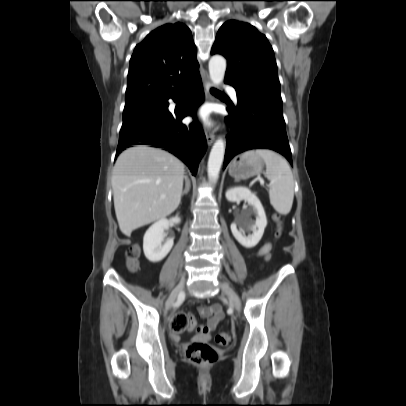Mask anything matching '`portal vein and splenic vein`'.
Masks as SVG:
<instances>
[{
    "label": "portal vein and splenic vein",
    "instance_id": "18ae733b",
    "mask_svg": "<svg viewBox=\"0 0 406 406\" xmlns=\"http://www.w3.org/2000/svg\"><path fill=\"white\" fill-rule=\"evenodd\" d=\"M261 184L263 185V184H264V182H263V181H261ZM162 197H165V196H162Z\"/></svg>",
    "mask_w": 406,
    "mask_h": 406
}]
</instances>
